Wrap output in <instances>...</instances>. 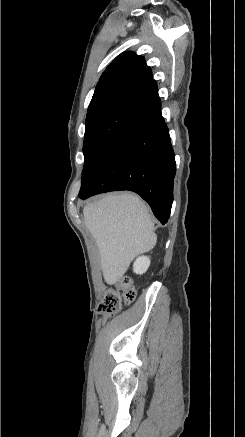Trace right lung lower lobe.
<instances>
[{
	"label": "right lung lower lobe",
	"mask_w": 245,
	"mask_h": 437,
	"mask_svg": "<svg viewBox=\"0 0 245 437\" xmlns=\"http://www.w3.org/2000/svg\"><path fill=\"white\" fill-rule=\"evenodd\" d=\"M175 173V155L160 104L142 111L121 131L82 183L79 197L130 190L148 202L165 224L173 202Z\"/></svg>",
	"instance_id": "right-lung-lower-lobe-1"
}]
</instances>
